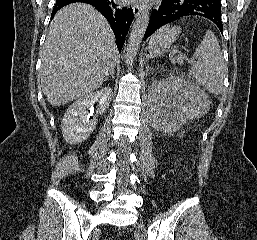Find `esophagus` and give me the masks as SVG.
<instances>
[{
	"instance_id": "obj_1",
	"label": "esophagus",
	"mask_w": 257,
	"mask_h": 240,
	"mask_svg": "<svg viewBox=\"0 0 257 240\" xmlns=\"http://www.w3.org/2000/svg\"><path fill=\"white\" fill-rule=\"evenodd\" d=\"M142 11V7L139 5H134L133 6V12H134V16L137 17Z\"/></svg>"
}]
</instances>
